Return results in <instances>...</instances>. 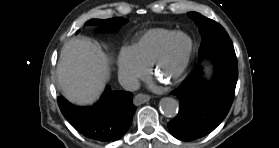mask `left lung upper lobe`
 Instances as JSON below:
<instances>
[{
	"label": "left lung upper lobe",
	"instance_id": "obj_1",
	"mask_svg": "<svg viewBox=\"0 0 279 148\" xmlns=\"http://www.w3.org/2000/svg\"><path fill=\"white\" fill-rule=\"evenodd\" d=\"M202 36L199 58L206 57L220 50L233 49L232 41L225 29L217 22L196 12H189Z\"/></svg>",
	"mask_w": 279,
	"mask_h": 148
}]
</instances>
